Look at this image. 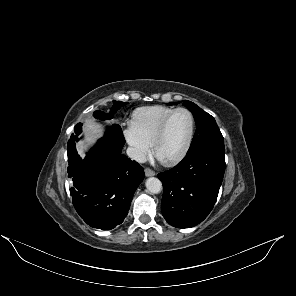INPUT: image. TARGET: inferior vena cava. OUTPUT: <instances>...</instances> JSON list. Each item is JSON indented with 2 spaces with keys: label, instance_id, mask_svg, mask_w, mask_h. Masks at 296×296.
I'll return each mask as SVG.
<instances>
[{
  "label": "inferior vena cava",
  "instance_id": "602c4592",
  "mask_svg": "<svg viewBox=\"0 0 296 296\" xmlns=\"http://www.w3.org/2000/svg\"><path fill=\"white\" fill-rule=\"evenodd\" d=\"M127 155H128L129 158L137 161L138 163L146 162L145 154L142 151H140V150H138L136 148L128 147L127 148Z\"/></svg>",
  "mask_w": 296,
  "mask_h": 296
}]
</instances>
